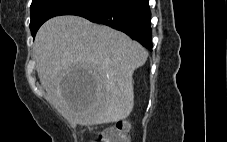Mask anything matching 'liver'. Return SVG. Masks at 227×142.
I'll use <instances>...</instances> for the list:
<instances>
[{
	"instance_id": "obj_1",
	"label": "liver",
	"mask_w": 227,
	"mask_h": 142,
	"mask_svg": "<svg viewBox=\"0 0 227 142\" xmlns=\"http://www.w3.org/2000/svg\"><path fill=\"white\" fill-rule=\"evenodd\" d=\"M41 85L56 108L83 126L118 122L134 107L133 73L148 52L126 34L79 16L46 21L34 42ZM74 70L94 73L84 88H71L64 76Z\"/></svg>"
}]
</instances>
